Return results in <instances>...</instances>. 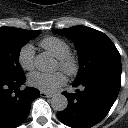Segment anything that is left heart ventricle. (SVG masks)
<instances>
[{
    "label": "left heart ventricle",
    "instance_id": "left-heart-ventricle-1",
    "mask_svg": "<svg viewBox=\"0 0 128 128\" xmlns=\"http://www.w3.org/2000/svg\"><path fill=\"white\" fill-rule=\"evenodd\" d=\"M57 68H59V64L57 63V66H56Z\"/></svg>",
    "mask_w": 128,
    "mask_h": 128
}]
</instances>
